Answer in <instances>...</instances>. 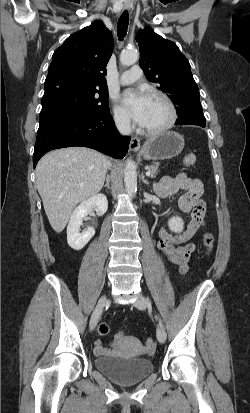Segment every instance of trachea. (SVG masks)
<instances>
[{
	"mask_svg": "<svg viewBox=\"0 0 250 413\" xmlns=\"http://www.w3.org/2000/svg\"><path fill=\"white\" fill-rule=\"evenodd\" d=\"M128 24H129V14L127 11H125L120 16L118 23H117V33H118L119 40H122L126 36Z\"/></svg>",
	"mask_w": 250,
	"mask_h": 413,
	"instance_id": "3493384b",
	"label": "trachea"
}]
</instances>
